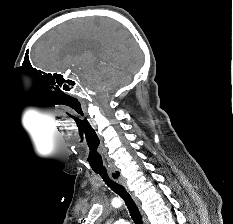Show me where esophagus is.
Here are the masks:
<instances>
[{"label":"esophagus","instance_id":"esophagus-1","mask_svg":"<svg viewBox=\"0 0 233 224\" xmlns=\"http://www.w3.org/2000/svg\"><path fill=\"white\" fill-rule=\"evenodd\" d=\"M110 177L115 180L116 182H118L119 184H121L131 195L132 199L134 200L135 204L137 205V207L139 208L141 215L143 217V222L144 224H149V221L145 215V213L141 210L140 208V202L139 200L133 195V193H131V191L129 190L127 184H126V180L124 179V177L122 176L120 170H112L110 171Z\"/></svg>","mask_w":233,"mask_h":224}]
</instances>
